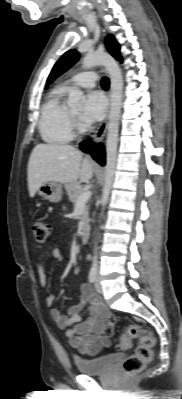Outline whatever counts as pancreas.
I'll return each instance as SVG.
<instances>
[{"label": "pancreas", "instance_id": "pancreas-1", "mask_svg": "<svg viewBox=\"0 0 182 399\" xmlns=\"http://www.w3.org/2000/svg\"><path fill=\"white\" fill-rule=\"evenodd\" d=\"M65 189L67 191L69 200L74 204H77L78 198L80 194L83 192V188L81 187L79 182L67 183L65 185ZM89 213H88V206H85L80 217L79 222V229L80 232H85L89 227Z\"/></svg>", "mask_w": 182, "mask_h": 399}]
</instances>
